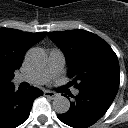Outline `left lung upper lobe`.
<instances>
[{"label":"left lung upper lobe","mask_w":128,"mask_h":128,"mask_svg":"<svg viewBox=\"0 0 128 128\" xmlns=\"http://www.w3.org/2000/svg\"><path fill=\"white\" fill-rule=\"evenodd\" d=\"M49 38L65 53L68 77L78 90L108 87L118 90L117 56L102 38L86 30L49 32Z\"/></svg>","instance_id":"obj_1"}]
</instances>
